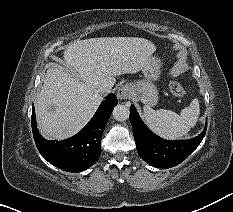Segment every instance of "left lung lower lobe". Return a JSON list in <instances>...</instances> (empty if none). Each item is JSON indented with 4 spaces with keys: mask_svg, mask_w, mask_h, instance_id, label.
Returning <instances> with one entry per match:
<instances>
[{
    "mask_svg": "<svg viewBox=\"0 0 233 212\" xmlns=\"http://www.w3.org/2000/svg\"><path fill=\"white\" fill-rule=\"evenodd\" d=\"M130 122L139 156L149 165L157 168H171L183 162L201 143L205 129L198 136L188 140H165L154 134L143 123L134 105L130 107Z\"/></svg>",
    "mask_w": 233,
    "mask_h": 212,
    "instance_id": "obj_1",
    "label": "left lung lower lobe"
}]
</instances>
